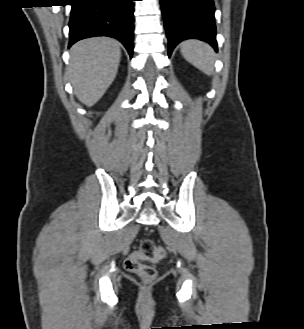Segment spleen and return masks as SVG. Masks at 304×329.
Masks as SVG:
<instances>
[{"label": "spleen", "mask_w": 304, "mask_h": 329, "mask_svg": "<svg viewBox=\"0 0 304 329\" xmlns=\"http://www.w3.org/2000/svg\"><path fill=\"white\" fill-rule=\"evenodd\" d=\"M180 52L196 68L207 75L212 74L214 52L208 44L198 40H187L181 44Z\"/></svg>", "instance_id": "3e777b00"}]
</instances>
